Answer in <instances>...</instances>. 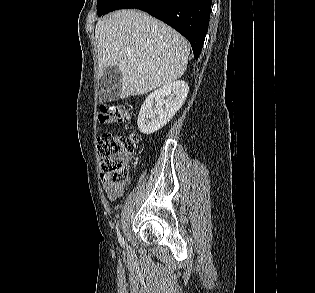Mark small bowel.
Wrapping results in <instances>:
<instances>
[{
  "mask_svg": "<svg viewBox=\"0 0 315 293\" xmlns=\"http://www.w3.org/2000/svg\"><path fill=\"white\" fill-rule=\"evenodd\" d=\"M103 190L110 201H115L124 193V184L103 183Z\"/></svg>",
  "mask_w": 315,
  "mask_h": 293,
  "instance_id": "small-bowel-1",
  "label": "small bowel"
}]
</instances>
